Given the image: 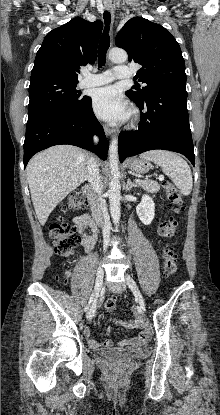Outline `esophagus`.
<instances>
[{
	"instance_id": "esophagus-1",
	"label": "esophagus",
	"mask_w": 220,
	"mask_h": 415,
	"mask_svg": "<svg viewBox=\"0 0 220 415\" xmlns=\"http://www.w3.org/2000/svg\"><path fill=\"white\" fill-rule=\"evenodd\" d=\"M105 9L112 14V23H113V7H112L111 3H105ZM104 131H105L106 135H108V136L111 135L112 132H113V130L108 125L104 126Z\"/></svg>"
}]
</instances>
